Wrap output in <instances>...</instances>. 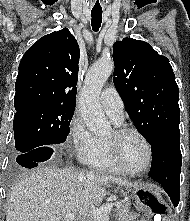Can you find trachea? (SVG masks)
<instances>
[{
	"label": "trachea",
	"instance_id": "3493384b",
	"mask_svg": "<svg viewBox=\"0 0 190 221\" xmlns=\"http://www.w3.org/2000/svg\"><path fill=\"white\" fill-rule=\"evenodd\" d=\"M91 26L94 31H98L102 22V10L91 11Z\"/></svg>",
	"mask_w": 190,
	"mask_h": 221
}]
</instances>
